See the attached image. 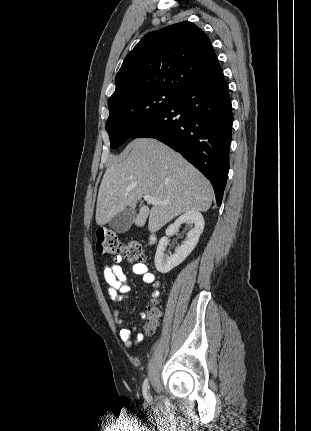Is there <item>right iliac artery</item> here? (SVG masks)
<instances>
[{"label":"right iliac artery","mask_w":311,"mask_h":431,"mask_svg":"<svg viewBox=\"0 0 311 431\" xmlns=\"http://www.w3.org/2000/svg\"><path fill=\"white\" fill-rule=\"evenodd\" d=\"M142 389H143V395L146 398L147 397V393H148V389H149V384H148V379L147 378L144 380L143 388Z\"/></svg>","instance_id":"82829eb1"}]
</instances>
